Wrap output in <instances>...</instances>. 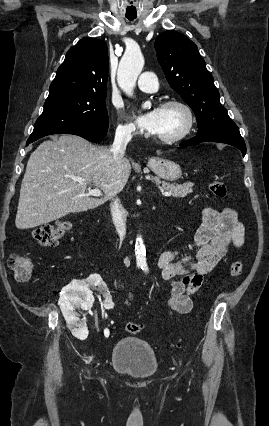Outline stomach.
I'll return each instance as SVG.
<instances>
[{
	"instance_id": "0dacf381",
	"label": "stomach",
	"mask_w": 269,
	"mask_h": 426,
	"mask_svg": "<svg viewBox=\"0 0 269 426\" xmlns=\"http://www.w3.org/2000/svg\"><path fill=\"white\" fill-rule=\"evenodd\" d=\"M148 165L158 177L167 181H176L182 175L180 166L171 160L153 158L149 160Z\"/></svg>"
}]
</instances>
